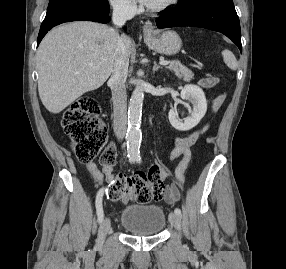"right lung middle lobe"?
<instances>
[{
    "label": "right lung middle lobe",
    "instance_id": "obj_1",
    "mask_svg": "<svg viewBox=\"0 0 286 269\" xmlns=\"http://www.w3.org/2000/svg\"><path fill=\"white\" fill-rule=\"evenodd\" d=\"M90 7L99 11H109L108 0H50L46 15L73 7Z\"/></svg>",
    "mask_w": 286,
    "mask_h": 269
}]
</instances>
